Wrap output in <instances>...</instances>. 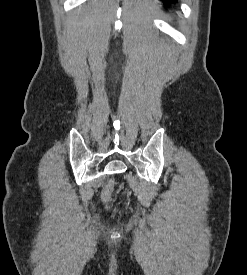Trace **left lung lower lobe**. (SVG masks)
Returning a JSON list of instances; mask_svg holds the SVG:
<instances>
[{
  "instance_id": "0a47b994",
  "label": "left lung lower lobe",
  "mask_w": 247,
  "mask_h": 275,
  "mask_svg": "<svg viewBox=\"0 0 247 275\" xmlns=\"http://www.w3.org/2000/svg\"><path fill=\"white\" fill-rule=\"evenodd\" d=\"M165 3L167 4H170V3H173V2H176V0H163Z\"/></svg>"
}]
</instances>
